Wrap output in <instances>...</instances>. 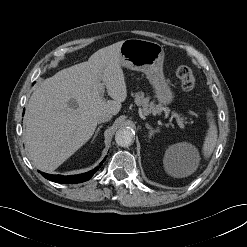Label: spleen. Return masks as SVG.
Returning a JSON list of instances; mask_svg holds the SVG:
<instances>
[{"instance_id":"spleen-1","label":"spleen","mask_w":247,"mask_h":247,"mask_svg":"<svg viewBox=\"0 0 247 247\" xmlns=\"http://www.w3.org/2000/svg\"><path fill=\"white\" fill-rule=\"evenodd\" d=\"M213 116L214 115L212 112H208L209 129L207 130L204 144H203V155L205 158H208L211 156L217 144V136H218L217 127L215 125V120ZM166 168L170 173L174 172L171 163H167Z\"/></svg>"}]
</instances>
